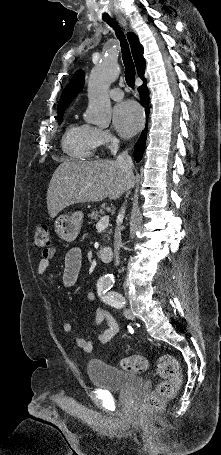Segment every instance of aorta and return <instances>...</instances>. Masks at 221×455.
Segmentation results:
<instances>
[{
  "mask_svg": "<svg viewBox=\"0 0 221 455\" xmlns=\"http://www.w3.org/2000/svg\"><path fill=\"white\" fill-rule=\"evenodd\" d=\"M119 76V67L115 61L105 59L95 67L88 81V109L86 120L100 127H107L111 121V102L108 89L112 82ZM106 283H112L114 278L111 274L104 276Z\"/></svg>",
  "mask_w": 221,
  "mask_h": 455,
  "instance_id": "obj_1",
  "label": "aorta"
}]
</instances>
